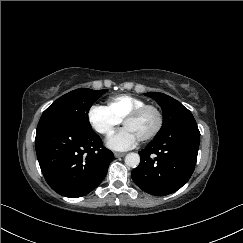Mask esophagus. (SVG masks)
Wrapping results in <instances>:
<instances>
[{
  "mask_svg": "<svg viewBox=\"0 0 243 243\" xmlns=\"http://www.w3.org/2000/svg\"><path fill=\"white\" fill-rule=\"evenodd\" d=\"M114 156H115L116 158L123 157V156H125V153L115 152V153H114Z\"/></svg>",
  "mask_w": 243,
  "mask_h": 243,
  "instance_id": "obj_1",
  "label": "esophagus"
}]
</instances>
